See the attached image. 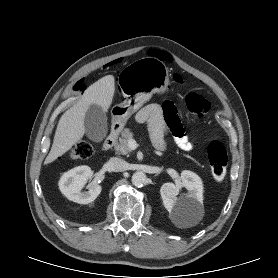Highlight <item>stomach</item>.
Returning <instances> with one entry per match:
<instances>
[{
    "label": "stomach",
    "instance_id": "1",
    "mask_svg": "<svg viewBox=\"0 0 278 278\" xmlns=\"http://www.w3.org/2000/svg\"><path fill=\"white\" fill-rule=\"evenodd\" d=\"M118 85L125 100L112 108L111 116L114 127H123L132 113L153 94H164L168 91V68L157 58H141L119 73Z\"/></svg>",
    "mask_w": 278,
    "mask_h": 278
}]
</instances>
